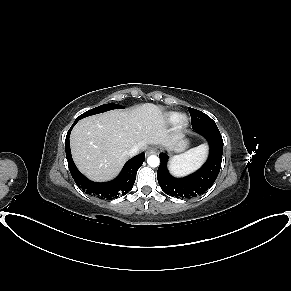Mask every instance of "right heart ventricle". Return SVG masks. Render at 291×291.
I'll return each instance as SVG.
<instances>
[{
    "mask_svg": "<svg viewBox=\"0 0 291 291\" xmlns=\"http://www.w3.org/2000/svg\"><path fill=\"white\" fill-rule=\"evenodd\" d=\"M167 117H168L169 121H173L175 119L176 115L174 113H170V114H168Z\"/></svg>",
    "mask_w": 291,
    "mask_h": 291,
    "instance_id": "1",
    "label": "right heart ventricle"
}]
</instances>
